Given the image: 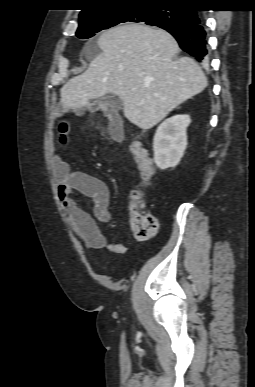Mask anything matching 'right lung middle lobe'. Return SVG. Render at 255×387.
<instances>
[{
    "label": "right lung middle lobe",
    "mask_w": 255,
    "mask_h": 387,
    "mask_svg": "<svg viewBox=\"0 0 255 387\" xmlns=\"http://www.w3.org/2000/svg\"><path fill=\"white\" fill-rule=\"evenodd\" d=\"M76 36L87 39L97 32L124 22H144L147 25L161 26L181 23L184 20L179 8L161 10L157 6H124L104 10L79 19Z\"/></svg>",
    "instance_id": "right-lung-middle-lobe-1"
}]
</instances>
